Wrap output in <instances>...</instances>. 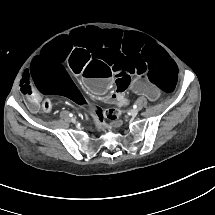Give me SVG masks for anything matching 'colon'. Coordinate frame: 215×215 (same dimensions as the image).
Wrapping results in <instances>:
<instances>
[{"label":"colon","mask_w":215,"mask_h":215,"mask_svg":"<svg viewBox=\"0 0 215 215\" xmlns=\"http://www.w3.org/2000/svg\"><path fill=\"white\" fill-rule=\"evenodd\" d=\"M43 110L50 112L52 109V103L50 99H45L42 103ZM121 114V111L116 108L106 109L101 111V116L108 119H115Z\"/></svg>","instance_id":"5ec220e1"}]
</instances>
